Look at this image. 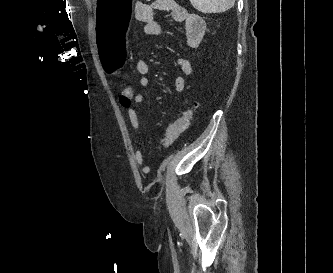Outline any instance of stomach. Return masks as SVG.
<instances>
[{
	"label": "stomach",
	"instance_id": "obj_1",
	"mask_svg": "<svg viewBox=\"0 0 333 273\" xmlns=\"http://www.w3.org/2000/svg\"><path fill=\"white\" fill-rule=\"evenodd\" d=\"M134 0H95L96 38H127L134 26ZM96 54L106 75H119L121 65H128L127 39H96Z\"/></svg>",
	"mask_w": 333,
	"mask_h": 273
}]
</instances>
